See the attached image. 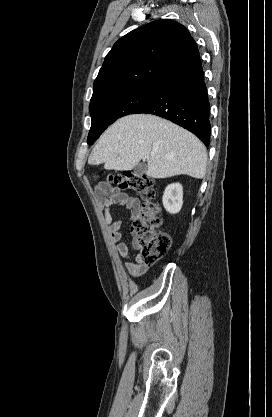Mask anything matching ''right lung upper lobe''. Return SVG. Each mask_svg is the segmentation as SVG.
<instances>
[{
    "mask_svg": "<svg viewBox=\"0 0 272 417\" xmlns=\"http://www.w3.org/2000/svg\"><path fill=\"white\" fill-rule=\"evenodd\" d=\"M198 57L197 44L180 23L161 19L143 25L120 38L107 54L91 102L130 87L161 85Z\"/></svg>",
    "mask_w": 272,
    "mask_h": 417,
    "instance_id": "right-lung-upper-lobe-1",
    "label": "right lung upper lobe"
}]
</instances>
